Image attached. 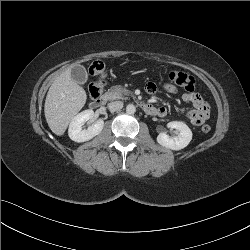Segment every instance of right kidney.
I'll return each mask as SVG.
<instances>
[{"label": "right kidney", "instance_id": "right-kidney-1", "mask_svg": "<svg viewBox=\"0 0 250 250\" xmlns=\"http://www.w3.org/2000/svg\"><path fill=\"white\" fill-rule=\"evenodd\" d=\"M94 117V111L91 109L84 110L77 114L70 122L68 134L71 140L75 142H85L89 141L93 137L99 135L104 127V121L102 119L97 120V122L87 129H83V124Z\"/></svg>", "mask_w": 250, "mask_h": 250}]
</instances>
